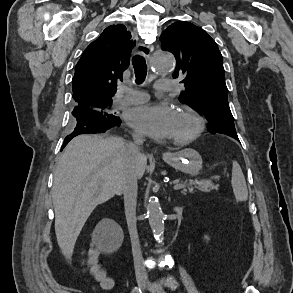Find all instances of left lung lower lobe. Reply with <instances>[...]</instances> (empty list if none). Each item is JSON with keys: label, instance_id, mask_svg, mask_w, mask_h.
I'll return each instance as SVG.
<instances>
[{"label": "left lung lower lobe", "instance_id": "1", "mask_svg": "<svg viewBox=\"0 0 293 293\" xmlns=\"http://www.w3.org/2000/svg\"><path fill=\"white\" fill-rule=\"evenodd\" d=\"M227 135H229V136H231V137H233V138H235L236 140L239 141L238 136H237V133L236 134L230 133V134H227Z\"/></svg>", "mask_w": 293, "mask_h": 293}]
</instances>
